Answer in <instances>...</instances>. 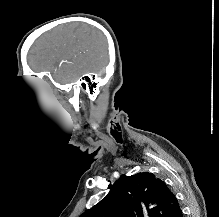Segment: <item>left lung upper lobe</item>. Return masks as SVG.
<instances>
[{
  "label": "left lung upper lobe",
  "mask_w": 219,
  "mask_h": 217,
  "mask_svg": "<svg viewBox=\"0 0 219 217\" xmlns=\"http://www.w3.org/2000/svg\"><path fill=\"white\" fill-rule=\"evenodd\" d=\"M179 210L167 185L154 174L143 172L122 175L104 199L79 217H175Z\"/></svg>",
  "instance_id": "5c2ea615"
}]
</instances>
